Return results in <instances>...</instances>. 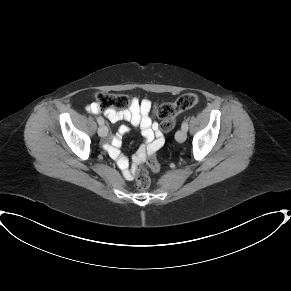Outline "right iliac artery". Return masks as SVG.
<instances>
[{
  "label": "right iliac artery",
  "mask_w": 291,
  "mask_h": 291,
  "mask_svg": "<svg viewBox=\"0 0 291 291\" xmlns=\"http://www.w3.org/2000/svg\"><path fill=\"white\" fill-rule=\"evenodd\" d=\"M97 122L99 125H103L104 124V119L102 117H98L97 118Z\"/></svg>",
  "instance_id": "1"
}]
</instances>
